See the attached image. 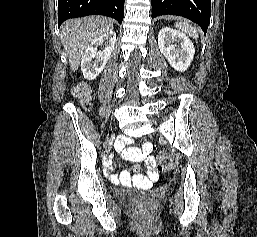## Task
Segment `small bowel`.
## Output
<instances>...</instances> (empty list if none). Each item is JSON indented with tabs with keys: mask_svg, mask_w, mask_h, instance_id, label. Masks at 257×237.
Masks as SVG:
<instances>
[{
	"mask_svg": "<svg viewBox=\"0 0 257 237\" xmlns=\"http://www.w3.org/2000/svg\"><path fill=\"white\" fill-rule=\"evenodd\" d=\"M151 146L146 143L142 150L140 149H128L122 151V155L136 161L146 160L148 171L146 175L131 176L129 172L123 170L116 174L113 172V166L107 164L105 168L106 175L111 178L114 182L120 183L122 185H128L131 182H135L140 185H148L151 181L157 179V173L155 171V160L149 155Z\"/></svg>",
	"mask_w": 257,
	"mask_h": 237,
	"instance_id": "1",
	"label": "small bowel"
}]
</instances>
